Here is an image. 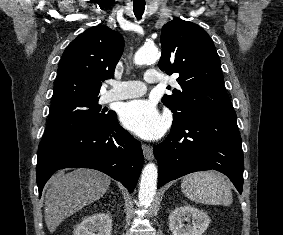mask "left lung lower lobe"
I'll return each mask as SVG.
<instances>
[{
    "mask_svg": "<svg viewBox=\"0 0 283 235\" xmlns=\"http://www.w3.org/2000/svg\"><path fill=\"white\" fill-rule=\"evenodd\" d=\"M158 187L188 173L217 170L243 190L244 157L236 113L192 116L174 123L169 136L154 147Z\"/></svg>",
    "mask_w": 283,
    "mask_h": 235,
    "instance_id": "0a47b994",
    "label": "left lung lower lobe"
}]
</instances>
